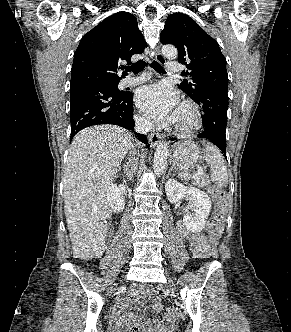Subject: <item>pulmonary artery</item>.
I'll return each mask as SVG.
<instances>
[{"instance_id": "1", "label": "pulmonary artery", "mask_w": 291, "mask_h": 332, "mask_svg": "<svg viewBox=\"0 0 291 332\" xmlns=\"http://www.w3.org/2000/svg\"><path fill=\"white\" fill-rule=\"evenodd\" d=\"M166 71L169 74L177 73V72L180 71V64L176 61L168 62L167 65H166ZM149 78H150L149 74H143V75H140V76H137V77H128V78H125L122 81V85L123 86H131V85L146 81Z\"/></svg>"}]
</instances>
